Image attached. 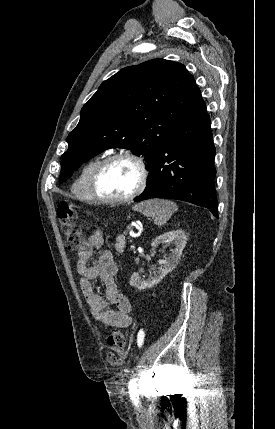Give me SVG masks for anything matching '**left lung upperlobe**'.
Instances as JSON below:
<instances>
[{
    "label": "left lung upper lobe",
    "mask_w": 275,
    "mask_h": 429,
    "mask_svg": "<svg viewBox=\"0 0 275 429\" xmlns=\"http://www.w3.org/2000/svg\"><path fill=\"white\" fill-rule=\"evenodd\" d=\"M196 87L183 64L164 59L123 68L104 81L67 137L59 182L110 148L132 149L145 157L148 168L187 110Z\"/></svg>",
    "instance_id": "5c2ea615"
}]
</instances>
